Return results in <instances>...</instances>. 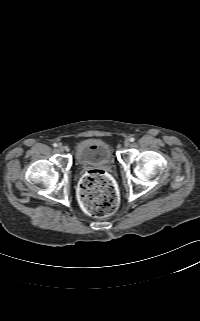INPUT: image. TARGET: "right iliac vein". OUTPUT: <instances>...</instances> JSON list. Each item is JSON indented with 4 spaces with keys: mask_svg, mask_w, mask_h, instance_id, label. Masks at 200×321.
Here are the masks:
<instances>
[{
    "mask_svg": "<svg viewBox=\"0 0 200 321\" xmlns=\"http://www.w3.org/2000/svg\"><path fill=\"white\" fill-rule=\"evenodd\" d=\"M57 149H58L59 152H63L64 151V146L60 144V145H58Z\"/></svg>",
    "mask_w": 200,
    "mask_h": 321,
    "instance_id": "right-iliac-vein-1",
    "label": "right iliac vein"
}]
</instances>
